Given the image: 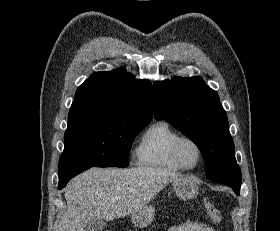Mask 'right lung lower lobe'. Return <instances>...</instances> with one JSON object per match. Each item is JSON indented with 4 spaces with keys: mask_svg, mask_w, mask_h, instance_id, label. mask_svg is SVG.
Returning <instances> with one entry per match:
<instances>
[{
    "mask_svg": "<svg viewBox=\"0 0 280 231\" xmlns=\"http://www.w3.org/2000/svg\"><path fill=\"white\" fill-rule=\"evenodd\" d=\"M91 168L89 165H76V164H59V186L62 189L66 186L68 181L79 173Z\"/></svg>",
    "mask_w": 280,
    "mask_h": 231,
    "instance_id": "1",
    "label": "right lung lower lobe"
}]
</instances>
